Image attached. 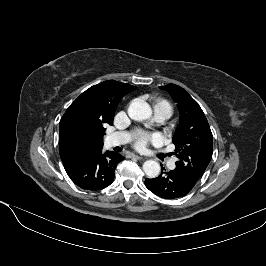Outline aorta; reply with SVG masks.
<instances>
[{"label": "aorta", "instance_id": "aorta-1", "mask_svg": "<svg viewBox=\"0 0 266 266\" xmlns=\"http://www.w3.org/2000/svg\"><path fill=\"white\" fill-rule=\"evenodd\" d=\"M128 114L133 120L142 121L151 117L152 110L146 102L134 100L128 108ZM143 170L148 177L155 178L160 174L161 167L157 161L147 160L143 164Z\"/></svg>", "mask_w": 266, "mask_h": 266}]
</instances>
